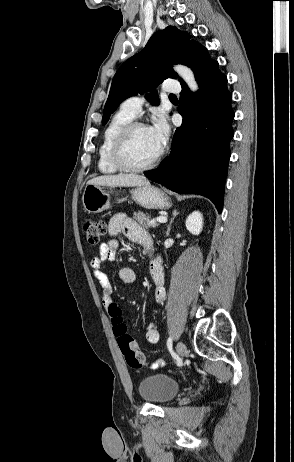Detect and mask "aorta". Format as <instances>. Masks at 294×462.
<instances>
[{"label":"aorta","mask_w":294,"mask_h":462,"mask_svg":"<svg viewBox=\"0 0 294 462\" xmlns=\"http://www.w3.org/2000/svg\"><path fill=\"white\" fill-rule=\"evenodd\" d=\"M174 70L179 74L180 77L183 78V80L187 83L193 92L197 91L198 85L191 69L184 65H176Z\"/></svg>","instance_id":"762f6f07"}]
</instances>
